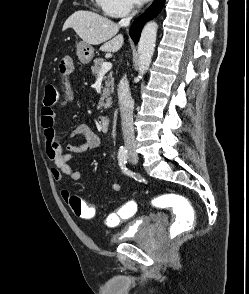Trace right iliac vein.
<instances>
[{"label":"right iliac vein","mask_w":249,"mask_h":294,"mask_svg":"<svg viewBox=\"0 0 249 294\" xmlns=\"http://www.w3.org/2000/svg\"><path fill=\"white\" fill-rule=\"evenodd\" d=\"M128 156L132 164L136 165L138 163V156L133 149H129Z\"/></svg>","instance_id":"63e3f726"}]
</instances>
